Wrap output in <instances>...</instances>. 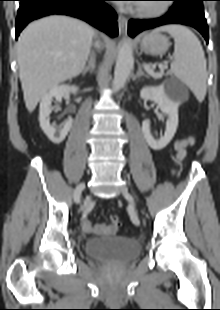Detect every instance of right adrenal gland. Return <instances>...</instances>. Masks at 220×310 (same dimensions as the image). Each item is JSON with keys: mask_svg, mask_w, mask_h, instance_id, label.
Masks as SVG:
<instances>
[{"mask_svg": "<svg viewBox=\"0 0 220 310\" xmlns=\"http://www.w3.org/2000/svg\"><path fill=\"white\" fill-rule=\"evenodd\" d=\"M95 68H96V57L95 54L91 52L89 55L88 64L83 69L82 75L85 76L88 71L92 72L95 70Z\"/></svg>", "mask_w": 220, "mask_h": 310, "instance_id": "right-adrenal-gland-1", "label": "right adrenal gland"}]
</instances>
